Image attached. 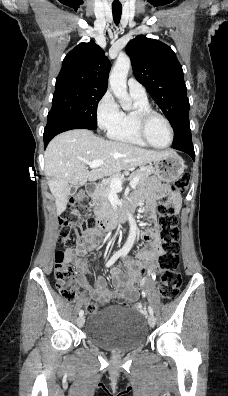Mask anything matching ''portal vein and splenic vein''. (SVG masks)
<instances>
[{"mask_svg":"<svg viewBox=\"0 0 228 396\" xmlns=\"http://www.w3.org/2000/svg\"><path fill=\"white\" fill-rule=\"evenodd\" d=\"M102 164H104V160H102V159H97V160H93L91 162H87V165L90 168H97V167L101 166ZM138 181H139V178L136 176L130 181L129 185L131 187H135L137 185ZM110 187L113 191H117V192L121 191L122 190V180L120 178H112L110 181Z\"/></svg>","mask_w":228,"mask_h":396,"instance_id":"18ae733b","label":"portal vein and splenic vein"}]
</instances>
